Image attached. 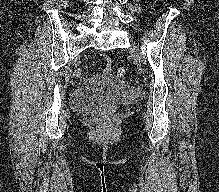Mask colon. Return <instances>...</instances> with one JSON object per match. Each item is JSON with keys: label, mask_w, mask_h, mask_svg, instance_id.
Segmentation results:
<instances>
[{"label": "colon", "mask_w": 219, "mask_h": 192, "mask_svg": "<svg viewBox=\"0 0 219 192\" xmlns=\"http://www.w3.org/2000/svg\"><path fill=\"white\" fill-rule=\"evenodd\" d=\"M125 74H126V69L122 66L116 68L114 71V75L118 78H123L125 76Z\"/></svg>", "instance_id": "obj_1"}]
</instances>
